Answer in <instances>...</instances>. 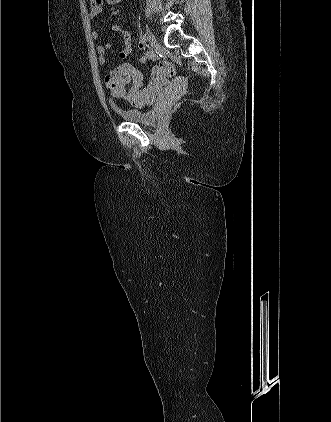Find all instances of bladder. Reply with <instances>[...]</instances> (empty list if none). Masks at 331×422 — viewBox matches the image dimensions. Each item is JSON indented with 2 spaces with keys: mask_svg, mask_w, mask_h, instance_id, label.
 <instances>
[{
  "mask_svg": "<svg viewBox=\"0 0 331 422\" xmlns=\"http://www.w3.org/2000/svg\"><path fill=\"white\" fill-rule=\"evenodd\" d=\"M160 97L158 101H162ZM120 115L127 121L137 124L148 125L155 122L158 116V106L155 105L149 109H123L119 111Z\"/></svg>",
  "mask_w": 331,
  "mask_h": 422,
  "instance_id": "obj_1",
  "label": "bladder"
}]
</instances>
